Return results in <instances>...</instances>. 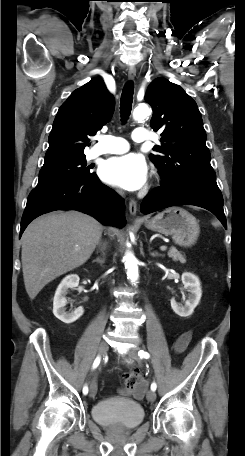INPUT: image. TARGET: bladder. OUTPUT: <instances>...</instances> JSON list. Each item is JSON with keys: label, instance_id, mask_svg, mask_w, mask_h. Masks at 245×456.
Instances as JSON below:
<instances>
[{"label": "bladder", "instance_id": "bladder-1", "mask_svg": "<svg viewBox=\"0 0 245 456\" xmlns=\"http://www.w3.org/2000/svg\"><path fill=\"white\" fill-rule=\"evenodd\" d=\"M91 416L96 423L104 427L129 430L142 424L144 410L133 400L108 398L93 405Z\"/></svg>", "mask_w": 245, "mask_h": 456}]
</instances>
